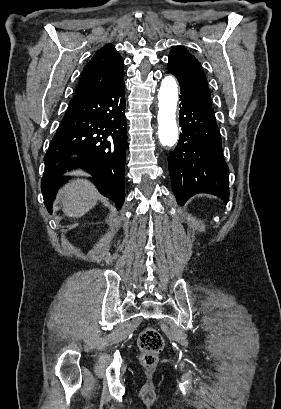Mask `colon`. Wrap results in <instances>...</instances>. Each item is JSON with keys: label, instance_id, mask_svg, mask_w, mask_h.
<instances>
[{"label": "colon", "instance_id": "obj_1", "mask_svg": "<svg viewBox=\"0 0 281 409\" xmlns=\"http://www.w3.org/2000/svg\"><path fill=\"white\" fill-rule=\"evenodd\" d=\"M164 344L165 341L157 329L151 326L145 327L137 340V345L141 351V363L148 368L155 366L158 354L163 350Z\"/></svg>", "mask_w": 281, "mask_h": 409}]
</instances>
